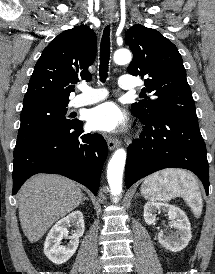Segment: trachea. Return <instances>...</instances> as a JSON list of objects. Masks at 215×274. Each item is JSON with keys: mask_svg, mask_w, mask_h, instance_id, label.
Here are the masks:
<instances>
[{"mask_svg": "<svg viewBox=\"0 0 215 274\" xmlns=\"http://www.w3.org/2000/svg\"><path fill=\"white\" fill-rule=\"evenodd\" d=\"M110 59V25L106 26L100 45V65H99V76L100 81L104 82L107 78L108 64Z\"/></svg>", "mask_w": 215, "mask_h": 274, "instance_id": "1", "label": "trachea"}]
</instances>
